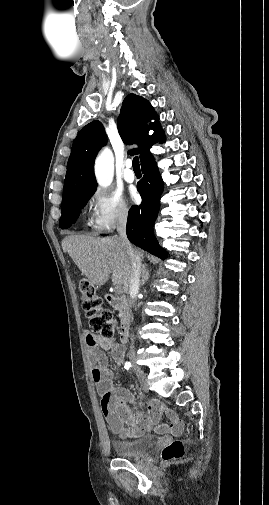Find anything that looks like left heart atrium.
<instances>
[{"instance_id": "1", "label": "left heart atrium", "mask_w": 269, "mask_h": 505, "mask_svg": "<svg viewBox=\"0 0 269 505\" xmlns=\"http://www.w3.org/2000/svg\"><path fill=\"white\" fill-rule=\"evenodd\" d=\"M131 198H132L133 200L136 198L135 193H132V194H131Z\"/></svg>"}]
</instances>
